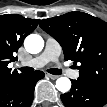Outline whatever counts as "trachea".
I'll list each match as a JSON object with an SVG mask.
<instances>
[{
    "instance_id": "3493384b",
    "label": "trachea",
    "mask_w": 107,
    "mask_h": 107,
    "mask_svg": "<svg viewBox=\"0 0 107 107\" xmlns=\"http://www.w3.org/2000/svg\"><path fill=\"white\" fill-rule=\"evenodd\" d=\"M20 70L23 73H27V72L33 71V69L30 68V67H22ZM48 72L51 73V74H55V75H59V74L62 73V71L60 69H49Z\"/></svg>"
}]
</instances>
